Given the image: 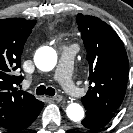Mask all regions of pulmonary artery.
<instances>
[{"label": "pulmonary artery", "mask_w": 133, "mask_h": 133, "mask_svg": "<svg viewBox=\"0 0 133 133\" xmlns=\"http://www.w3.org/2000/svg\"><path fill=\"white\" fill-rule=\"evenodd\" d=\"M77 52L75 45L64 46L57 65V68L52 76L53 80L60 83L63 89L71 96H78L79 88L72 80V70L74 57Z\"/></svg>", "instance_id": "1"}]
</instances>
